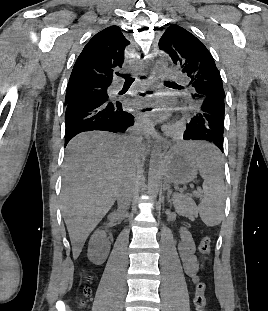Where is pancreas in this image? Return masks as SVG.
<instances>
[{
	"mask_svg": "<svg viewBox=\"0 0 268 311\" xmlns=\"http://www.w3.org/2000/svg\"><path fill=\"white\" fill-rule=\"evenodd\" d=\"M173 206L179 215L193 219L197 214V206L191 195L174 194Z\"/></svg>",
	"mask_w": 268,
	"mask_h": 311,
	"instance_id": "pancreas-1",
	"label": "pancreas"
}]
</instances>
